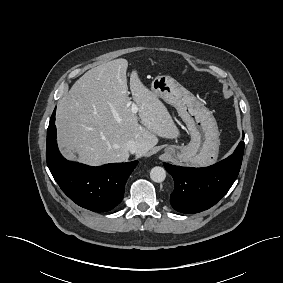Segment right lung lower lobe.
Here are the masks:
<instances>
[{"label": "right lung lower lobe", "mask_w": 283, "mask_h": 283, "mask_svg": "<svg viewBox=\"0 0 283 283\" xmlns=\"http://www.w3.org/2000/svg\"><path fill=\"white\" fill-rule=\"evenodd\" d=\"M54 110L47 130L46 159L49 170L63 192L77 205L106 212L123 199L125 183L138 161L91 167L62 157L56 143Z\"/></svg>", "instance_id": "1"}]
</instances>
